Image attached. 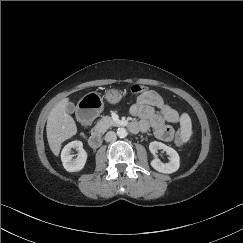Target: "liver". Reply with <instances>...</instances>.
<instances>
[{
    "mask_svg": "<svg viewBox=\"0 0 243 243\" xmlns=\"http://www.w3.org/2000/svg\"><path fill=\"white\" fill-rule=\"evenodd\" d=\"M68 98L60 100L50 111L47 119L46 132L49 147L58 156L62 143L77 133L74 119L67 114Z\"/></svg>",
    "mask_w": 243,
    "mask_h": 243,
    "instance_id": "obj_1",
    "label": "liver"
}]
</instances>
